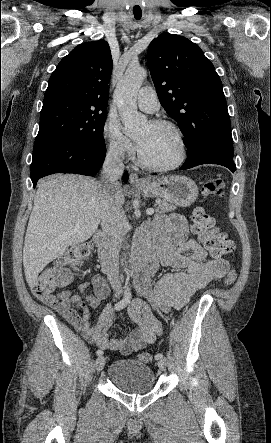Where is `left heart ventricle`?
I'll return each mask as SVG.
<instances>
[{
  "label": "left heart ventricle",
  "instance_id": "obj_1",
  "mask_svg": "<svg viewBox=\"0 0 271 443\" xmlns=\"http://www.w3.org/2000/svg\"><path fill=\"white\" fill-rule=\"evenodd\" d=\"M141 144L142 155L151 163L167 165L180 155V142L176 132L166 126L145 124L135 136Z\"/></svg>",
  "mask_w": 271,
  "mask_h": 443
}]
</instances>
